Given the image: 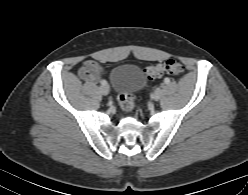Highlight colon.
I'll return each mask as SVG.
<instances>
[{
  "label": "colon",
  "instance_id": "obj_1",
  "mask_svg": "<svg viewBox=\"0 0 248 195\" xmlns=\"http://www.w3.org/2000/svg\"><path fill=\"white\" fill-rule=\"evenodd\" d=\"M184 71V65L177 60H168L162 64L149 65L145 68L144 74L147 79L153 80L165 74L180 75ZM118 102L122 110L130 112L135 107V100L131 93L121 92Z\"/></svg>",
  "mask_w": 248,
  "mask_h": 195
}]
</instances>
